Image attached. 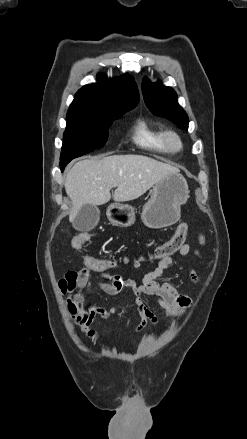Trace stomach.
Masks as SVG:
<instances>
[{
	"label": "stomach",
	"mask_w": 247,
	"mask_h": 439,
	"mask_svg": "<svg viewBox=\"0 0 247 439\" xmlns=\"http://www.w3.org/2000/svg\"><path fill=\"white\" fill-rule=\"evenodd\" d=\"M189 198L188 184L179 173H173L152 189L150 200L144 205L141 219L152 229L170 226L180 218V208ZM108 220L115 226L129 227L135 223V211L128 204L113 203L107 209Z\"/></svg>",
	"instance_id": "1"
}]
</instances>
